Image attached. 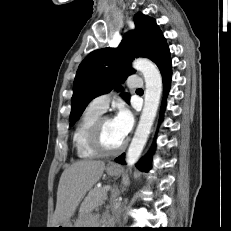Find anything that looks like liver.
I'll list each match as a JSON object with an SVG mask.
<instances>
[{
    "instance_id": "obj_1",
    "label": "liver",
    "mask_w": 231,
    "mask_h": 231,
    "mask_svg": "<svg viewBox=\"0 0 231 231\" xmlns=\"http://www.w3.org/2000/svg\"><path fill=\"white\" fill-rule=\"evenodd\" d=\"M105 169L103 161L80 160L65 169L60 177L52 227L67 224L80 201L100 180Z\"/></svg>"
}]
</instances>
